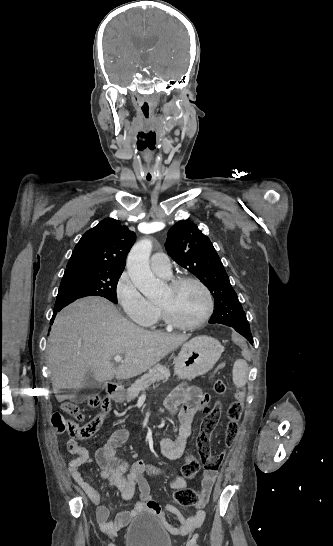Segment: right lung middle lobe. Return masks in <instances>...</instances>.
Listing matches in <instances>:
<instances>
[{"label": "right lung middle lobe", "instance_id": "right-lung-middle-lobe-1", "mask_svg": "<svg viewBox=\"0 0 333 546\" xmlns=\"http://www.w3.org/2000/svg\"><path fill=\"white\" fill-rule=\"evenodd\" d=\"M123 270H98L65 274L62 278L54 311L86 296L105 297L117 303L116 287Z\"/></svg>", "mask_w": 333, "mask_h": 546}]
</instances>
